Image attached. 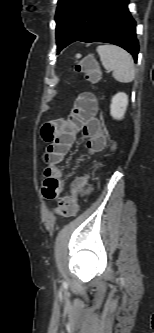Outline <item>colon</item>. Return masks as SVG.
<instances>
[{
	"mask_svg": "<svg viewBox=\"0 0 154 333\" xmlns=\"http://www.w3.org/2000/svg\"><path fill=\"white\" fill-rule=\"evenodd\" d=\"M75 71L84 74L85 78L91 82L96 83L100 79V71L96 60L87 56L80 60L75 65ZM102 167V162L97 161L94 163L91 171L83 176L77 177L71 185V193L59 199L55 212L64 217L74 216L78 210V195L87 187L91 175L94 171Z\"/></svg>",
	"mask_w": 154,
	"mask_h": 333,
	"instance_id": "obj_1",
	"label": "colon"
}]
</instances>
